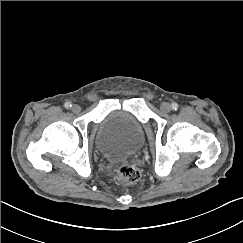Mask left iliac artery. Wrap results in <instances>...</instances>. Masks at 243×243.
I'll list each match as a JSON object with an SVG mask.
<instances>
[{
    "instance_id": "1",
    "label": "left iliac artery",
    "mask_w": 243,
    "mask_h": 243,
    "mask_svg": "<svg viewBox=\"0 0 243 243\" xmlns=\"http://www.w3.org/2000/svg\"><path fill=\"white\" fill-rule=\"evenodd\" d=\"M171 107H172L173 110H177L178 104L174 102V103L171 104Z\"/></svg>"
}]
</instances>
